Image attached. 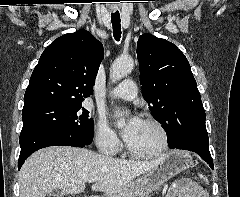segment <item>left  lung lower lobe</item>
<instances>
[{
    "label": "left lung lower lobe",
    "mask_w": 240,
    "mask_h": 197,
    "mask_svg": "<svg viewBox=\"0 0 240 197\" xmlns=\"http://www.w3.org/2000/svg\"><path fill=\"white\" fill-rule=\"evenodd\" d=\"M205 111L198 103L171 119L167 139L170 148L196 152L213 169L209 138L205 126Z\"/></svg>",
    "instance_id": "left-lung-lower-lobe-1"
}]
</instances>
